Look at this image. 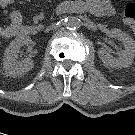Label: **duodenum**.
<instances>
[{"mask_svg":"<svg viewBox=\"0 0 135 135\" xmlns=\"http://www.w3.org/2000/svg\"><path fill=\"white\" fill-rule=\"evenodd\" d=\"M24 32H30L32 33L33 32V29L32 28H28L27 30L24 28Z\"/></svg>","mask_w":135,"mask_h":135,"instance_id":"1","label":"duodenum"}]
</instances>
